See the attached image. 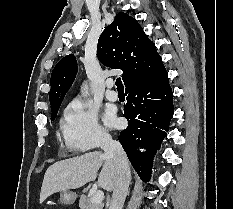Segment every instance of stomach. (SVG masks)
<instances>
[{
	"mask_svg": "<svg viewBox=\"0 0 233 209\" xmlns=\"http://www.w3.org/2000/svg\"><path fill=\"white\" fill-rule=\"evenodd\" d=\"M77 199V194L75 192L66 190L60 193V202L64 205H72Z\"/></svg>",
	"mask_w": 233,
	"mask_h": 209,
	"instance_id": "stomach-1",
	"label": "stomach"
}]
</instances>
